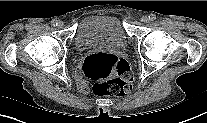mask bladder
Returning <instances> with one entry per match:
<instances>
[{
	"mask_svg": "<svg viewBox=\"0 0 207 123\" xmlns=\"http://www.w3.org/2000/svg\"><path fill=\"white\" fill-rule=\"evenodd\" d=\"M126 45V33L117 17L89 16L78 24L75 47L79 51L122 50Z\"/></svg>",
	"mask_w": 207,
	"mask_h": 123,
	"instance_id": "31cf9c89",
	"label": "bladder"
}]
</instances>
